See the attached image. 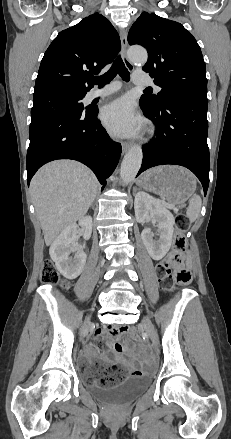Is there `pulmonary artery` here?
<instances>
[{
  "label": "pulmonary artery",
  "mask_w": 231,
  "mask_h": 439,
  "mask_svg": "<svg viewBox=\"0 0 231 439\" xmlns=\"http://www.w3.org/2000/svg\"><path fill=\"white\" fill-rule=\"evenodd\" d=\"M133 82L137 85H144V86H153L155 88V90L157 92L160 91V87H158L157 85L154 84L153 80L151 79V77L149 76V74L141 71V70H136L133 73ZM120 88V84L119 83H112L100 90H92L88 93L87 95V99L88 100H93L99 97H104L107 96L115 91H117Z\"/></svg>",
  "instance_id": "pulmonary-artery-1"
}]
</instances>
